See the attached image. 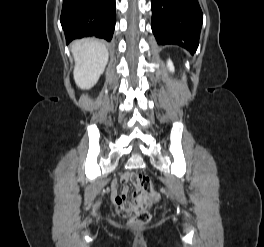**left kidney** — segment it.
Instances as JSON below:
<instances>
[{"label":"left kidney","mask_w":264,"mask_h":247,"mask_svg":"<svg viewBox=\"0 0 264 247\" xmlns=\"http://www.w3.org/2000/svg\"><path fill=\"white\" fill-rule=\"evenodd\" d=\"M167 65L170 71H174V66L171 60H168Z\"/></svg>","instance_id":"1"}]
</instances>
